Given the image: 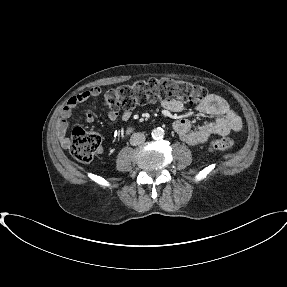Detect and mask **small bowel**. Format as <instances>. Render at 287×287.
Listing matches in <instances>:
<instances>
[{"label":"small bowel","mask_w":287,"mask_h":287,"mask_svg":"<svg viewBox=\"0 0 287 287\" xmlns=\"http://www.w3.org/2000/svg\"><path fill=\"white\" fill-rule=\"evenodd\" d=\"M101 90L93 87L71 97L61 111V115L56 124V134L63 146H68L69 139L66 136L68 130V119L71 117L73 109L80 103L85 102L91 97L99 96ZM163 107L172 112H178L183 109V104L177 100L165 101ZM197 109L205 114L212 115L213 120L204 123L199 128L192 130L188 119L182 118L174 122V130L179 138L192 146L204 144L210 137L216 135H226L231 131H240L242 129V120L234 112L225 99L218 95H209L208 99L201 103ZM119 116L123 120L131 117V111L124 109L121 113L117 110H110L108 119L115 122ZM85 120L88 123L94 121L92 113L85 114Z\"/></svg>","instance_id":"obj_1"}]
</instances>
